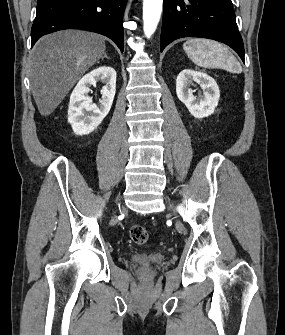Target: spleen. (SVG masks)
I'll use <instances>...</instances> for the list:
<instances>
[{"instance_id": "1", "label": "spleen", "mask_w": 285, "mask_h": 335, "mask_svg": "<svg viewBox=\"0 0 285 335\" xmlns=\"http://www.w3.org/2000/svg\"><path fill=\"white\" fill-rule=\"evenodd\" d=\"M183 50L186 52L188 58L201 68H233L232 62H235L242 72V68L231 56L225 46L213 42V40H203V38H188L187 42L183 44Z\"/></svg>"}]
</instances>
